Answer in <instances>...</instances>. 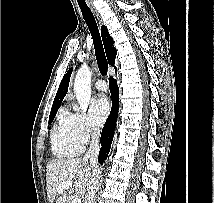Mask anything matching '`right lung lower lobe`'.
Returning a JSON list of instances; mask_svg holds the SVG:
<instances>
[{
  "instance_id": "1",
  "label": "right lung lower lobe",
  "mask_w": 214,
  "mask_h": 203,
  "mask_svg": "<svg viewBox=\"0 0 214 203\" xmlns=\"http://www.w3.org/2000/svg\"><path fill=\"white\" fill-rule=\"evenodd\" d=\"M109 88L112 94V109L111 113L106 120L105 126L103 128L102 134H101V149L99 153V163L103 164L104 160L107 157V154L110 151L111 143L113 140L114 136V128H115V123L117 121V116H118V107H119V102H118V94H119V88L117 86V82L114 78L109 79Z\"/></svg>"
}]
</instances>
